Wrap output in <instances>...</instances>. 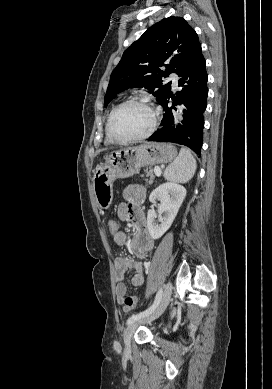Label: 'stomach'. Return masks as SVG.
Returning a JSON list of instances; mask_svg holds the SVG:
<instances>
[{"mask_svg":"<svg viewBox=\"0 0 272 389\" xmlns=\"http://www.w3.org/2000/svg\"><path fill=\"white\" fill-rule=\"evenodd\" d=\"M176 155L173 145L155 142L112 152L94 172L93 190L98 207L102 210L110 207L116 179L131 177L144 166L170 162Z\"/></svg>","mask_w":272,"mask_h":389,"instance_id":"obj_1","label":"stomach"}]
</instances>
